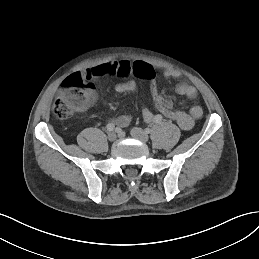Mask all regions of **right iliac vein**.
<instances>
[{
	"mask_svg": "<svg viewBox=\"0 0 259 259\" xmlns=\"http://www.w3.org/2000/svg\"><path fill=\"white\" fill-rule=\"evenodd\" d=\"M115 139H116V134L114 132H109L108 133V140L114 141Z\"/></svg>",
	"mask_w": 259,
	"mask_h": 259,
	"instance_id": "obj_1",
	"label": "right iliac vein"
}]
</instances>
